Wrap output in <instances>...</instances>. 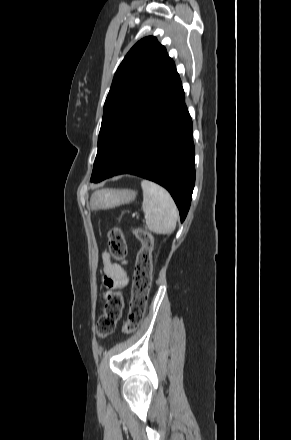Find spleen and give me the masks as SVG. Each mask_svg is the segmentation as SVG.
<instances>
[{"instance_id": "1", "label": "spleen", "mask_w": 291, "mask_h": 440, "mask_svg": "<svg viewBox=\"0 0 291 440\" xmlns=\"http://www.w3.org/2000/svg\"><path fill=\"white\" fill-rule=\"evenodd\" d=\"M141 187L146 228L156 234H171L178 219V210L171 195L166 189L149 180H142Z\"/></svg>"}]
</instances>
